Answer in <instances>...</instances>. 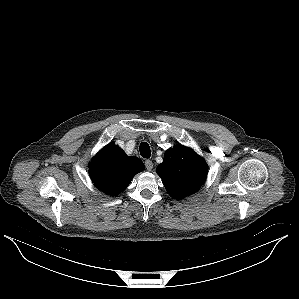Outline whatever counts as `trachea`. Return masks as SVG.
Instances as JSON below:
<instances>
[{"label": "trachea", "instance_id": "3493384b", "mask_svg": "<svg viewBox=\"0 0 299 299\" xmlns=\"http://www.w3.org/2000/svg\"><path fill=\"white\" fill-rule=\"evenodd\" d=\"M139 150L142 157L149 158L151 156V150L147 142H142Z\"/></svg>", "mask_w": 299, "mask_h": 299}]
</instances>
